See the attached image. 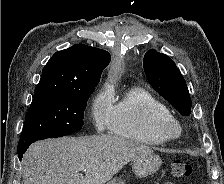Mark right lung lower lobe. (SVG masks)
I'll use <instances>...</instances> for the list:
<instances>
[{
	"label": "right lung lower lobe",
	"mask_w": 224,
	"mask_h": 184,
	"mask_svg": "<svg viewBox=\"0 0 224 184\" xmlns=\"http://www.w3.org/2000/svg\"><path fill=\"white\" fill-rule=\"evenodd\" d=\"M28 147H29V144L23 145V146H18L17 151H18V157L20 160L22 159L23 154L28 149Z\"/></svg>",
	"instance_id": "right-lung-lower-lobe-1"
}]
</instances>
